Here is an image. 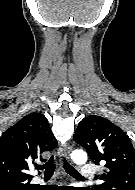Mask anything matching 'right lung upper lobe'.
I'll use <instances>...</instances> for the list:
<instances>
[{
    "mask_svg": "<svg viewBox=\"0 0 135 190\" xmlns=\"http://www.w3.org/2000/svg\"><path fill=\"white\" fill-rule=\"evenodd\" d=\"M57 141L43 114L30 113L6 130L0 137V183L28 184V174L35 159L53 150ZM27 182V183H26Z\"/></svg>",
    "mask_w": 135,
    "mask_h": 190,
    "instance_id": "cb5924a9",
    "label": "right lung upper lobe"
}]
</instances>
